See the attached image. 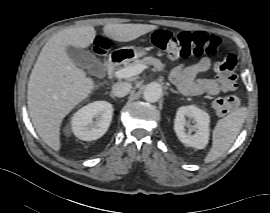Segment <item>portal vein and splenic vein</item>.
<instances>
[{
	"mask_svg": "<svg viewBox=\"0 0 270 213\" xmlns=\"http://www.w3.org/2000/svg\"><path fill=\"white\" fill-rule=\"evenodd\" d=\"M146 68H148V66L144 64H136L115 71L114 76L119 79L129 78L140 74Z\"/></svg>",
	"mask_w": 270,
	"mask_h": 213,
	"instance_id": "1",
	"label": "portal vein and splenic vein"
}]
</instances>
